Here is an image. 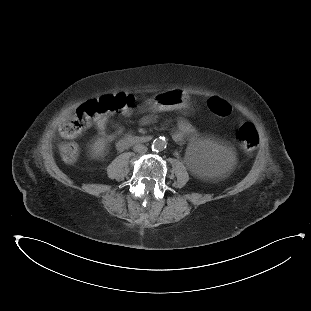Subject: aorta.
<instances>
[{"instance_id": "1", "label": "aorta", "mask_w": 311, "mask_h": 311, "mask_svg": "<svg viewBox=\"0 0 311 311\" xmlns=\"http://www.w3.org/2000/svg\"><path fill=\"white\" fill-rule=\"evenodd\" d=\"M164 148H165V143L160 139H155L151 145V149L154 152L162 151L164 150Z\"/></svg>"}]
</instances>
